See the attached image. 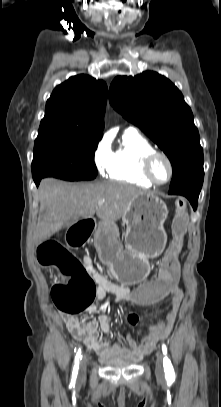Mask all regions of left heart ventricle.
Listing matches in <instances>:
<instances>
[{"label":"left heart ventricle","instance_id":"left-heart-ventricle-1","mask_svg":"<svg viewBox=\"0 0 221 407\" xmlns=\"http://www.w3.org/2000/svg\"><path fill=\"white\" fill-rule=\"evenodd\" d=\"M152 173L155 179L159 182H164L167 180L169 176V167L167 162L161 157L156 158L152 165Z\"/></svg>","mask_w":221,"mask_h":407}]
</instances>
